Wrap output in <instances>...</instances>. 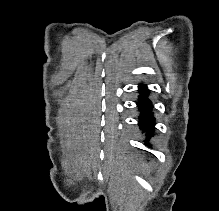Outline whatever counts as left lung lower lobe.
I'll list each match as a JSON object with an SVG mask.
<instances>
[{"instance_id":"1","label":"left lung lower lobe","mask_w":219,"mask_h":211,"mask_svg":"<svg viewBox=\"0 0 219 211\" xmlns=\"http://www.w3.org/2000/svg\"><path fill=\"white\" fill-rule=\"evenodd\" d=\"M140 96L139 100L137 102V105L139 107V110L141 111L140 117H139V126L143 130H146L147 138H150L153 135V127L155 125L154 117L152 116V102L148 99L149 90H147V86L140 84L139 86Z\"/></svg>"}]
</instances>
